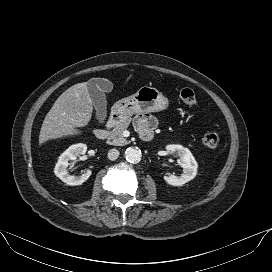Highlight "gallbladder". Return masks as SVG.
Wrapping results in <instances>:
<instances>
[{
  "instance_id": "obj_1",
  "label": "gallbladder",
  "mask_w": 272,
  "mask_h": 272,
  "mask_svg": "<svg viewBox=\"0 0 272 272\" xmlns=\"http://www.w3.org/2000/svg\"><path fill=\"white\" fill-rule=\"evenodd\" d=\"M87 88L96 110V119L103 123L107 117V100L104 90H110L111 84L104 79H91L87 82Z\"/></svg>"
}]
</instances>
